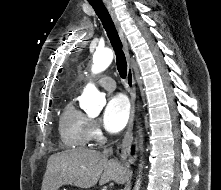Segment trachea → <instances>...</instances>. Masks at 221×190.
<instances>
[{
    "mask_svg": "<svg viewBox=\"0 0 221 190\" xmlns=\"http://www.w3.org/2000/svg\"><path fill=\"white\" fill-rule=\"evenodd\" d=\"M89 3L95 10L96 14L103 24V27L106 30L107 36L116 54V65L118 72L121 78L125 79L127 75V62L125 54L123 52L122 42L120 40L114 22L102 1L92 2L89 0Z\"/></svg>",
    "mask_w": 221,
    "mask_h": 190,
    "instance_id": "1",
    "label": "trachea"
}]
</instances>
